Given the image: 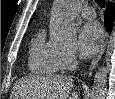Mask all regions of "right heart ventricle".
<instances>
[{
  "label": "right heart ventricle",
  "mask_w": 115,
  "mask_h": 99,
  "mask_svg": "<svg viewBox=\"0 0 115 99\" xmlns=\"http://www.w3.org/2000/svg\"><path fill=\"white\" fill-rule=\"evenodd\" d=\"M62 52L45 41L43 30L38 31L31 41L28 53V67L38 75H54L62 68Z\"/></svg>",
  "instance_id": "obj_1"
}]
</instances>
